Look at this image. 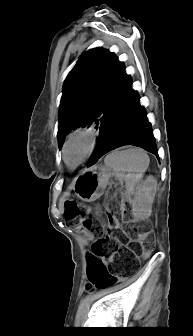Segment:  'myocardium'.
<instances>
[{
  "mask_svg": "<svg viewBox=\"0 0 193 336\" xmlns=\"http://www.w3.org/2000/svg\"><path fill=\"white\" fill-rule=\"evenodd\" d=\"M76 138H85L87 140V149L83 155V157L76 162L75 164H71L68 159H67V149L68 146L71 144L73 140ZM98 139H97V133L88 128H78L73 130L68 134L66 137L65 141L63 142L62 145V158L65 164L70 167V168H76L82 163H84L95 151L97 147Z\"/></svg>",
  "mask_w": 193,
  "mask_h": 336,
  "instance_id": "f54148a6",
  "label": "myocardium"
}]
</instances>
